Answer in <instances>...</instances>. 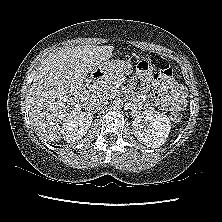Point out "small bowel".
<instances>
[{
  "mask_svg": "<svg viewBox=\"0 0 222 222\" xmlns=\"http://www.w3.org/2000/svg\"><path fill=\"white\" fill-rule=\"evenodd\" d=\"M148 85L153 87L149 97H145ZM137 90L142 99L149 106H154L166 111L180 110L185 105V91L177 84L169 68L160 75L154 73H139Z\"/></svg>",
  "mask_w": 222,
  "mask_h": 222,
  "instance_id": "1",
  "label": "small bowel"
}]
</instances>
